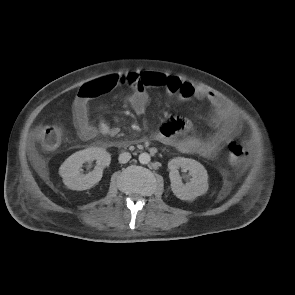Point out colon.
I'll return each instance as SVG.
<instances>
[{
	"label": "colon",
	"mask_w": 295,
	"mask_h": 295,
	"mask_svg": "<svg viewBox=\"0 0 295 295\" xmlns=\"http://www.w3.org/2000/svg\"><path fill=\"white\" fill-rule=\"evenodd\" d=\"M111 87L120 85L127 88H132L139 85L137 76L134 74H125L117 76L109 81ZM38 138L47 150H54L59 147L62 140L61 130L56 126H45L38 132ZM229 159L233 164H241L244 162L249 152L240 143L231 141L228 144Z\"/></svg>",
	"instance_id": "5ec220e1"
}]
</instances>
